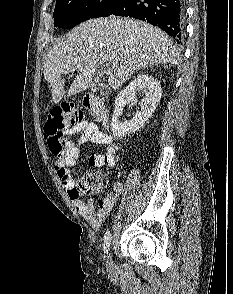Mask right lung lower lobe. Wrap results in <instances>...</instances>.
<instances>
[{"label": "right lung lower lobe", "mask_w": 233, "mask_h": 294, "mask_svg": "<svg viewBox=\"0 0 233 294\" xmlns=\"http://www.w3.org/2000/svg\"><path fill=\"white\" fill-rule=\"evenodd\" d=\"M129 16L160 27L178 43L183 34V0H123L108 15Z\"/></svg>", "instance_id": "right-lung-lower-lobe-1"}]
</instances>
